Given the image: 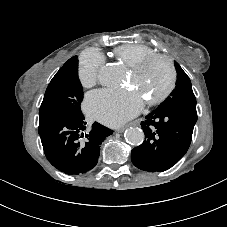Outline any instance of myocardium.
<instances>
[{
    "mask_svg": "<svg viewBox=\"0 0 227 227\" xmlns=\"http://www.w3.org/2000/svg\"><path fill=\"white\" fill-rule=\"evenodd\" d=\"M157 60H162L166 63L169 73H170V80L168 83V86L166 89L159 94L157 97L151 99L148 101L149 105H156L161 102H163L173 91L175 84H176V79H177V74H176V69L173 64V61L166 55H161V54H154L148 57L143 58L142 60L138 61L134 65L131 66V70L135 74H140L142 73L150 64Z\"/></svg>",
    "mask_w": 227,
    "mask_h": 227,
    "instance_id": "myocardium-1",
    "label": "myocardium"
}]
</instances>
